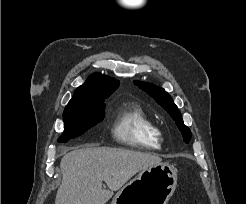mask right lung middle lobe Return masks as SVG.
<instances>
[{
  "mask_svg": "<svg viewBox=\"0 0 246 204\" xmlns=\"http://www.w3.org/2000/svg\"><path fill=\"white\" fill-rule=\"evenodd\" d=\"M105 98L107 96L91 98L82 104L66 106L63 113L65 129L58 141L67 142L101 122L105 117Z\"/></svg>",
  "mask_w": 246,
  "mask_h": 204,
  "instance_id": "right-lung-middle-lobe-1",
  "label": "right lung middle lobe"
}]
</instances>
